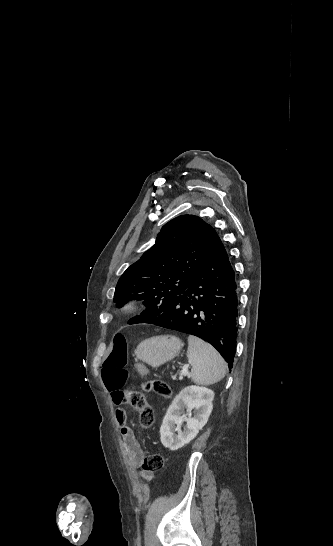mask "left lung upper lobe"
I'll return each instance as SVG.
<instances>
[{
  "instance_id": "1",
  "label": "left lung upper lobe",
  "mask_w": 333,
  "mask_h": 546,
  "mask_svg": "<svg viewBox=\"0 0 333 546\" xmlns=\"http://www.w3.org/2000/svg\"><path fill=\"white\" fill-rule=\"evenodd\" d=\"M217 236L210 225L194 215L169 221L155 245L120 277L114 295L117 307L131 299H145L147 309L140 316L154 321L190 286Z\"/></svg>"
}]
</instances>
